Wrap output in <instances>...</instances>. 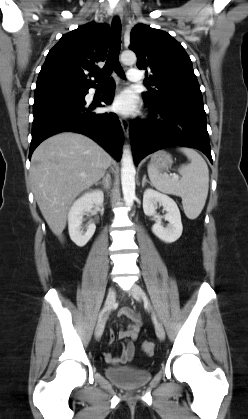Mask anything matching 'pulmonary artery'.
Wrapping results in <instances>:
<instances>
[{"label": "pulmonary artery", "instance_id": "pulmonary-artery-1", "mask_svg": "<svg viewBox=\"0 0 248 419\" xmlns=\"http://www.w3.org/2000/svg\"><path fill=\"white\" fill-rule=\"evenodd\" d=\"M127 78L129 81L137 83L141 81L142 76L139 69L136 67H133L128 70Z\"/></svg>", "mask_w": 248, "mask_h": 419}]
</instances>
